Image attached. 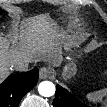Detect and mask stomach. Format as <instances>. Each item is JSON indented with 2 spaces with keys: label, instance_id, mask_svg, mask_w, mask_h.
Segmentation results:
<instances>
[{
  "label": "stomach",
  "instance_id": "obj_1",
  "mask_svg": "<svg viewBox=\"0 0 107 107\" xmlns=\"http://www.w3.org/2000/svg\"><path fill=\"white\" fill-rule=\"evenodd\" d=\"M76 73L75 68L71 65H66L64 68V75L67 77L74 76Z\"/></svg>",
  "mask_w": 107,
  "mask_h": 107
}]
</instances>
